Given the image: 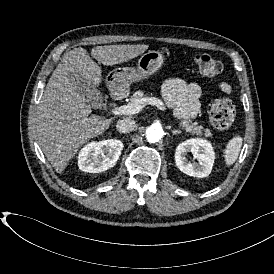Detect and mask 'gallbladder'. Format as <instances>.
Wrapping results in <instances>:
<instances>
[{
    "label": "gallbladder",
    "mask_w": 274,
    "mask_h": 274,
    "mask_svg": "<svg viewBox=\"0 0 274 274\" xmlns=\"http://www.w3.org/2000/svg\"><path fill=\"white\" fill-rule=\"evenodd\" d=\"M69 83L76 87L83 99L91 106H99L105 100L104 91L95 85L82 71L74 70L68 76Z\"/></svg>",
    "instance_id": "1"
}]
</instances>
